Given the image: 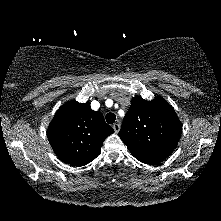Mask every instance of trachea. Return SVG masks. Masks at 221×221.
I'll return each mask as SVG.
<instances>
[{
  "label": "trachea",
  "mask_w": 221,
  "mask_h": 221,
  "mask_svg": "<svg viewBox=\"0 0 221 221\" xmlns=\"http://www.w3.org/2000/svg\"><path fill=\"white\" fill-rule=\"evenodd\" d=\"M115 120H116V115L114 113H108L106 115L107 123L112 124V123H114Z\"/></svg>",
  "instance_id": "1"
}]
</instances>
